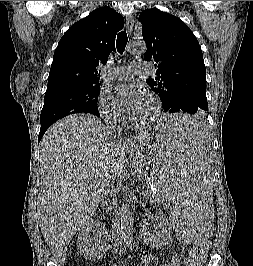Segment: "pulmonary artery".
Wrapping results in <instances>:
<instances>
[{
	"label": "pulmonary artery",
	"mask_w": 253,
	"mask_h": 266,
	"mask_svg": "<svg viewBox=\"0 0 253 266\" xmlns=\"http://www.w3.org/2000/svg\"><path fill=\"white\" fill-rule=\"evenodd\" d=\"M145 61H134L130 65L114 68L111 71L113 78L117 80H127L134 75L141 74L144 70H147Z\"/></svg>",
	"instance_id": "pulmonary-artery-1"
}]
</instances>
